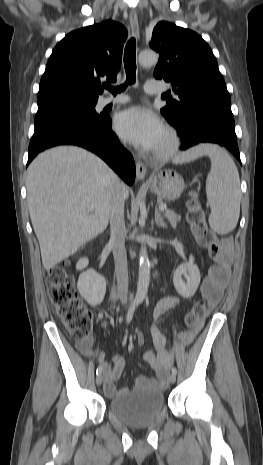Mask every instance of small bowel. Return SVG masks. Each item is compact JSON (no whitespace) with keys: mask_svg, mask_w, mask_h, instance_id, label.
<instances>
[{"mask_svg":"<svg viewBox=\"0 0 263 465\" xmlns=\"http://www.w3.org/2000/svg\"><path fill=\"white\" fill-rule=\"evenodd\" d=\"M217 265L210 268L207 276L203 279L200 285V293L209 301V307L214 308L220 301L224 289L230 279V252L225 249L216 256ZM179 304V298L176 296H167L160 300L156 305L153 313V324L151 326V334L154 346L157 353L146 351L144 360L149 366L155 370L156 378H148L140 376L135 382L137 387H152L164 388L167 383V373L170 365L173 363V354L165 346V337L157 327V321L168 310L176 307ZM206 322H201L199 325L200 334H205ZM197 330L186 331L180 335V342L183 344L190 343L196 336ZM138 344L143 345L145 342L143 334H138ZM102 358V356H101ZM105 383L104 392L108 397L126 392V389L117 390L114 382L119 379L125 368V361L119 354L114 356V366L104 363Z\"/></svg>","mask_w":263,"mask_h":465,"instance_id":"obj_1","label":"small bowel"}]
</instances>
